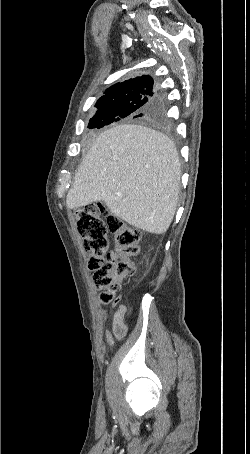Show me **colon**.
Masks as SVG:
<instances>
[{"mask_svg":"<svg viewBox=\"0 0 250 454\" xmlns=\"http://www.w3.org/2000/svg\"><path fill=\"white\" fill-rule=\"evenodd\" d=\"M76 227L87 252L88 268L100 290L103 304L114 301L122 280L134 274L132 257L139 252L140 233L108 214L101 204L91 203L76 210ZM115 238L114 249L108 235Z\"/></svg>","mask_w":250,"mask_h":454,"instance_id":"5ec220e1","label":"colon"}]
</instances>
